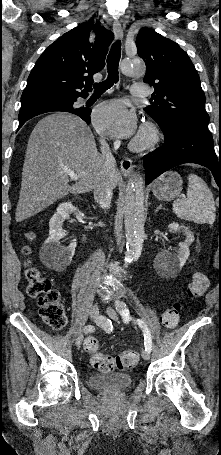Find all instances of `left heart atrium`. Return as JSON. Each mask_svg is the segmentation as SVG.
I'll list each match as a JSON object with an SVG mask.
<instances>
[{
  "instance_id": "1",
  "label": "left heart atrium",
  "mask_w": 221,
  "mask_h": 455,
  "mask_svg": "<svg viewBox=\"0 0 221 455\" xmlns=\"http://www.w3.org/2000/svg\"><path fill=\"white\" fill-rule=\"evenodd\" d=\"M93 121L99 131L111 137L129 138L137 129L136 114L118 100L97 107Z\"/></svg>"
}]
</instances>
